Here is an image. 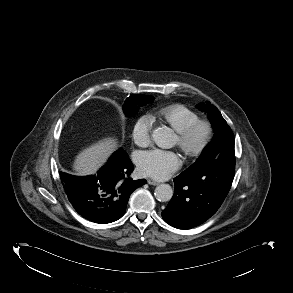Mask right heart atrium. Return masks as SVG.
<instances>
[{
	"mask_svg": "<svg viewBox=\"0 0 293 293\" xmlns=\"http://www.w3.org/2000/svg\"><path fill=\"white\" fill-rule=\"evenodd\" d=\"M153 119L150 115H141L132 126L133 141L141 147L147 146L151 141Z\"/></svg>",
	"mask_w": 293,
	"mask_h": 293,
	"instance_id": "1",
	"label": "right heart atrium"
}]
</instances>
